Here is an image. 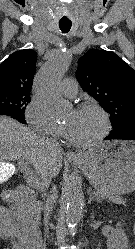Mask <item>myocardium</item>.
<instances>
[{
  "label": "myocardium",
  "mask_w": 135,
  "mask_h": 249,
  "mask_svg": "<svg viewBox=\"0 0 135 249\" xmlns=\"http://www.w3.org/2000/svg\"><path fill=\"white\" fill-rule=\"evenodd\" d=\"M84 109L95 110L101 115L102 120H103V130L95 138H93V139H91L89 141L81 142V141H77L74 138H72L71 135L69 134L67 128L65 127V134H66L67 140L71 144H73L74 146L80 147V148L91 147V146H94L95 144L99 143L100 141H102L109 134V131H110V128H111L109 114L107 113V111L102 106H100L99 104L94 103V102H83V103L79 104L76 107L75 110L79 111V110H84Z\"/></svg>",
  "instance_id": "f54148a6"
}]
</instances>
